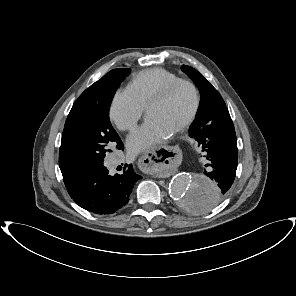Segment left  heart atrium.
I'll list each match as a JSON object with an SVG mask.
<instances>
[{"instance_id":"obj_1","label":"left heart atrium","mask_w":296,"mask_h":296,"mask_svg":"<svg viewBox=\"0 0 296 296\" xmlns=\"http://www.w3.org/2000/svg\"><path fill=\"white\" fill-rule=\"evenodd\" d=\"M171 134L172 132L158 120L148 116L145 123L128 138V148L137 154L165 141Z\"/></svg>"}]
</instances>
